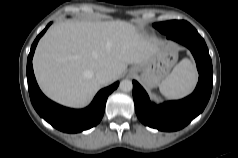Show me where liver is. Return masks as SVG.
<instances>
[{"label":"liver","mask_w":238,"mask_h":158,"mask_svg":"<svg viewBox=\"0 0 238 158\" xmlns=\"http://www.w3.org/2000/svg\"><path fill=\"white\" fill-rule=\"evenodd\" d=\"M162 44L122 20L65 21L42 37L33 67L48 97L67 106L82 107L101 87L95 77L97 71L107 69L111 81L115 80L128 64L145 62Z\"/></svg>","instance_id":"liver-1"}]
</instances>
